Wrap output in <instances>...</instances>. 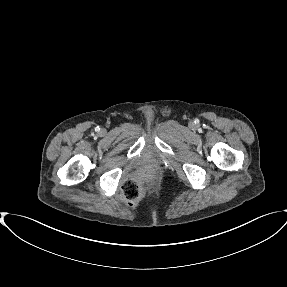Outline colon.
Listing matches in <instances>:
<instances>
[{"label":"colon","mask_w":287,"mask_h":287,"mask_svg":"<svg viewBox=\"0 0 287 287\" xmlns=\"http://www.w3.org/2000/svg\"><path fill=\"white\" fill-rule=\"evenodd\" d=\"M123 194L126 201L130 204H135L141 197V185L134 178H129L123 184Z\"/></svg>","instance_id":"5ec220e1"}]
</instances>
